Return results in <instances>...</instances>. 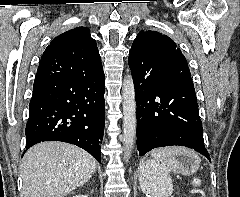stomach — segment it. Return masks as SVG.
I'll use <instances>...</instances> for the list:
<instances>
[{"label":"stomach","instance_id":"obj_1","mask_svg":"<svg viewBox=\"0 0 240 197\" xmlns=\"http://www.w3.org/2000/svg\"><path fill=\"white\" fill-rule=\"evenodd\" d=\"M145 163V162H144ZM142 164L141 167H143ZM200 167V159L195 154L194 156L177 155L174 162L170 163V168L175 172L185 176L194 174ZM143 184V181L140 182Z\"/></svg>","mask_w":240,"mask_h":197}]
</instances>
